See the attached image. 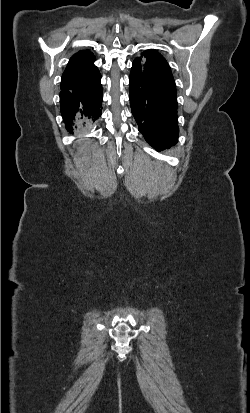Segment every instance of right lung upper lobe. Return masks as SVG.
Wrapping results in <instances>:
<instances>
[{
	"mask_svg": "<svg viewBox=\"0 0 250 413\" xmlns=\"http://www.w3.org/2000/svg\"><path fill=\"white\" fill-rule=\"evenodd\" d=\"M95 57L88 50L73 55L62 75L61 85H77L90 79L97 71Z\"/></svg>",
	"mask_w": 250,
	"mask_h": 413,
	"instance_id": "1",
	"label": "right lung upper lobe"
}]
</instances>
